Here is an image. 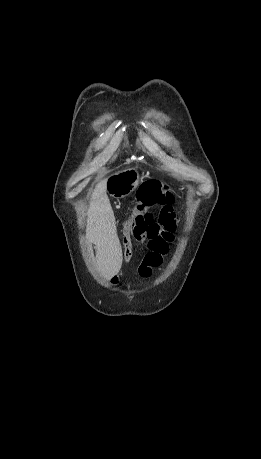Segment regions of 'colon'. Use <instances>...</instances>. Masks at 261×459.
<instances>
[{
    "instance_id": "obj_1",
    "label": "colon",
    "mask_w": 261,
    "mask_h": 459,
    "mask_svg": "<svg viewBox=\"0 0 261 459\" xmlns=\"http://www.w3.org/2000/svg\"><path fill=\"white\" fill-rule=\"evenodd\" d=\"M175 201L170 188L157 181L148 180L137 193L135 211L128 218V222H122L120 234L123 245V255L126 261L133 259L135 233L139 238H159L160 234H175L179 224L175 222L172 204ZM160 206L159 218H154L149 209Z\"/></svg>"
}]
</instances>
